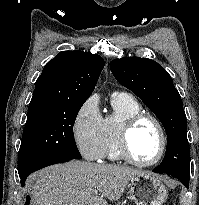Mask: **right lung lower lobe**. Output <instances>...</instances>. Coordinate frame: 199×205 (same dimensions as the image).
<instances>
[{
	"mask_svg": "<svg viewBox=\"0 0 199 205\" xmlns=\"http://www.w3.org/2000/svg\"><path fill=\"white\" fill-rule=\"evenodd\" d=\"M70 159H64V158H54V159H50V160H47L43 163H40L30 169H28L27 171H25L23 174L19 175L20 177V180H21V185L24 186L25 185V180L26 178L33 172L39 170V169H42L44 167H47V166H50V165H53V164H57V163H63V162H67L69 161Z\"/></svg>",
	"mask_w": 199,
	"mask_h": 205,
	"instance_id": "1",
	"label": "right lung lower lobe"
}]
</instances>
